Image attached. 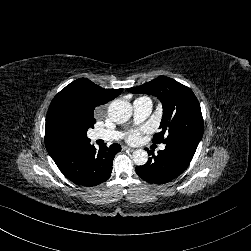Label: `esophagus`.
Wrapping results in <instances>:
<instances>
[{
  "label": "esophagus",
  "instance_id": "esophagus-1",
  "mask_svg": "<svg viewBox=\"0 0 251 251\" xmlns=\"http://www.w3.org/2000/svg\"><path fill=\"white\" fill-rule=\"evenodd\" d=\"M122 150H129L130 152L134 151V148L128 146H122Z\"/></svg>",
  "mask_w": 251,
  "mask_h": 251
}]
</instances>
